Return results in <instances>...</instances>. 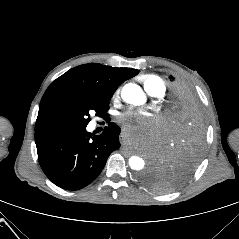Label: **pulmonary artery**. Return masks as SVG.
<instances>
[{
	"mask_svg": "<svg viewBox=\"0 0 239 239\" xmlns=\"http://www.w3.org/2000/svg\"><path fill=\"white\" fill-rule=\"evenodd\" d=\"M164 91H165V87L160 86L159 88H157L156 90L149 92L150 95L155 96V97H161L164 95Z\"/></svg>",
	"mask_w": 239,
	"mask_h": 239,
	"instance_id": "obj_1",
	"label": "pulmonary artery"
}]
</instances>
